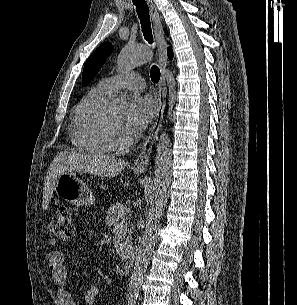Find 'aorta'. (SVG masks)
<instances>
[{"instance_id":"aorta-1","label":"aorta","mask_w":297,"mask_h":305,"mask_svg":"<svg viewBox=\"0 0 297 305\" xmlns=\"http://www.w3.org/2000/svg\"><path fill=\"white\" fill-rule=\"evenodd\" d=\"M152 59V52L146 46H125L117 60L118 68L122 71L133 69ZM126 101L121 96H116L110 103V108L116 112L125 109ZM172 143L169 135L164 131L161 133L157 143L155 157V178L150 195V204L146 216V227L134 269L130 277L127 295L135 298L138 296L142 281L147 270L150 257L153 253L157 233L168 196L172 179Z\"/></svg>"}]
</instances>
